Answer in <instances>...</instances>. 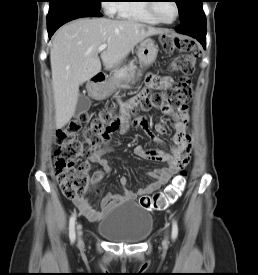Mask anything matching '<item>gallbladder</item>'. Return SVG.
Listing matches in <instances>:
<instances>
[{"label":"gallbladder","mask_w":258,"mask_h":275,"mask_svg":"<svg viewBox=\"0 0 258 275\" xmlns=\"http://www.w3.org/2000/svg\"><path fill=\"white\" fill-rule=\"evenodd\" d=\"M90 105H91L90 98L88 96H86L85 94H82V93L79 94L76 108H75L76 115L79 116L83 113H86L88 111V109L90 108Z\"/></svg>","instance_id":"bac80fb5"}]
</instances>
